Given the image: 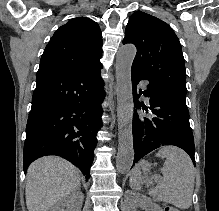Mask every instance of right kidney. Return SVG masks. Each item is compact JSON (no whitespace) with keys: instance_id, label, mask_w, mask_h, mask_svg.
<instances>
[{"instance_id":"right-kidney-1","label":"right kidney","mask_w":219,"mask_h":211,"mask_svg":"<svg viewBox=\"0 0 219 211\" xmlns=\"http://www.w3.org/2000/svg\"><path fill=\"white\" fill-rule=\"evenodd\" d=\"M79 195H80V199H76V197H73V195H68V197H60L59 201L53 203L50 211H66L65 207L66 205H68V203H71V207H76L75 211H80V205L83 201L82 191L81 193L79 191Z\"/></svg>"}]
</instances>
